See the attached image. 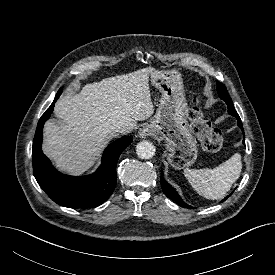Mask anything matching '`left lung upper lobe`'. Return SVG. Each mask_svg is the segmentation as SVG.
I'll return each mask as SVG.
<instances>
[{"mask_svg": "<svg viewBox=\"0 0 275 275\" xmlns=\"http://www.w3.org/2000/svg\"><path fill=\"white\" fill-rule=\"evenodd\" d=\"M217 87H218V93H219V96L221 97V99L230 98L226 87L219 81H217Z\"/></svg>", "mask_w": 275, "mask_h": 275, "instance_id": "obj_1", "label": "left lung upper lobe"}]
</instances>
